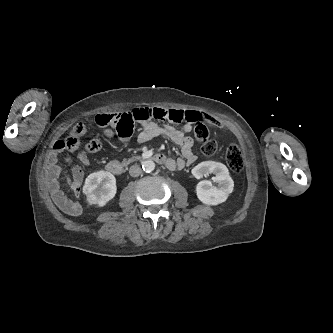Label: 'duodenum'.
I'll use <instances>...</instances> for the list:
<instances>
[{
    "mask_svg": "<svg viewBox=\"0 0 333 333\" xmlns=\"http://www.w3.org/2000/svg\"><path fill=\"white\" fill-rule=\"evenodd\" d=\"M153 160L160 164H166L167 158L163 154H154L151 156ZM127 164L117 160H111L106 165V170L114 175H121L125 172Z\"/></svg>",
    "mask_w": 333,
    "mask_h": 333,
    "instance_id": "obj_1",
    "label": "duodenum"
}]
</instances>
